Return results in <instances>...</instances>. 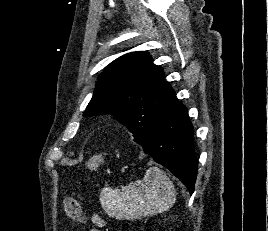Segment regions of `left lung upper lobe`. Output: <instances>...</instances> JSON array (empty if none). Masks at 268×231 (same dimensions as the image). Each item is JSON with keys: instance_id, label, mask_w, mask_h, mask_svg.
<instances>
[{"instance_id": "1", "label": "left lung upper lobe", "mask_w": 268, "mask_h": 231, "mask_svg": "<svg viewBox=\"0 0 268 231\" xmlns=\"http://www.w3.org/2000/svg\"><path fill=\"white\" fill-rule=\"evenodd\" d=\"M164 72L145 52L127 53L100 74L84 116L112 114L133 133L144 138L177 102Z\"/></svg>"}]
</instances>
